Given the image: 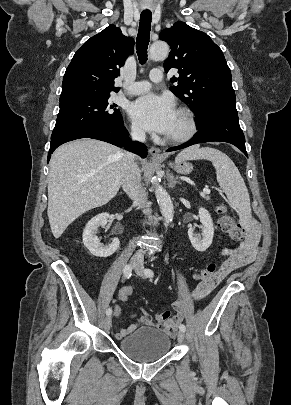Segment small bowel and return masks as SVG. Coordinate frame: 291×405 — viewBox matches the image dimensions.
Wrapping results in <instances>:
<instances>
[{
	"label": "small bowel",
	"instance_id": "small-bowel-1",
	"mask_svg": "<svg viewBox=\"0 0 291 405\" xmlns=\"http://www.w3.org/2000/svg\"><path fill=\"white\" fill-rule=\"evenodd\" d=\"M259 240L260 226L258 223L252 222L248 226L247 237L245 241L236 248H225L221 251V255L225 257V261L218 269L214 279L210 281L200 282L198 286L193 290L192 297L195 300H201L205 298L228 274L240 267L250 264L256 257ZM173 309L176 312L175 315L166 310L157 313L154 319L143 310L140 314L134 313L131 315V318H135L136 322L116 332L115 337L117 339H122L132 333L140 325L159 328L165 334L172 336L178 330V325L183 319L182 302L175 301L173 303ZM113 315H121L120 307H115L113 309Z\"/></svg>",
	"mask_w": 291,
	"mask_h": 405
}]
</instances>
